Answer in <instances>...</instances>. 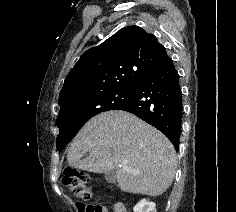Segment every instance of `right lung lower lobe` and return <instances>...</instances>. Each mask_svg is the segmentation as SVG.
<instances>
[{"label":"right lung lower lobe","instance_id":"right-lung-lower-lobe-1","mask_svg":"<svg viewBox=\"0 0 236 212\" xmlns=\"http://www.w3.org/2000/svg\"><path fill=\"white\" fill-rule=\"evenodd\" d=\"M117 110L130 112L158 128L178 150L182 92L178 72L167 53L143 77L134 96Z\"/></svg>","mask_w":236,"mask_h":212}]
</instances>
